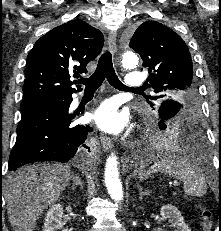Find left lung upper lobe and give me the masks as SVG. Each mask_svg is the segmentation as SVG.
<instances>
[{
	"label": "left lung upper lobe",
	"instance_id": "left-lung-upper-lobe-1",
	"mask_svg": "<svg viewBox=\"0 0 221 231\" xmlns=\"http://www.w3.org/2000/svg\"><path fill=\"white\" fill-rule=\"evenodd\" d=\"M129 46L140 54L150 74L148 87L161 93L154 98H160L156 108L161 119L173 117L183 105H195L198 93L192 59L178 34L161 23L146 21L136 29Z\"/></svg>",
	"mask_w": 221,
	"mask_h": 231
}]
</instances>
